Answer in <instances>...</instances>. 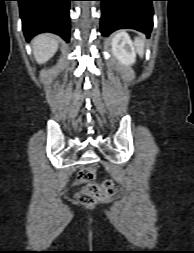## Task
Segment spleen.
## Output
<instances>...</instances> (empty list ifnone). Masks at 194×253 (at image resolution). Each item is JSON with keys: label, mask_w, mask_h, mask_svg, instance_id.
Wrapping results in <instances>:
<instances>
[{"label": "spleen", "mask_w": 194, "mask_h": 253, "mask_svg": "<svg viewBox=\"0 0 194 253\" xmlns=\"http://www.w3.org/2000/svg\"><path fill=\"white\" fill-rule=\"evenodd\" d=\"M134 45L136 47V51L142 57L144 54V40L140 37H136L134 40Z\"/></svg>", "instance_id": "spleen-1"}]
</instances>
